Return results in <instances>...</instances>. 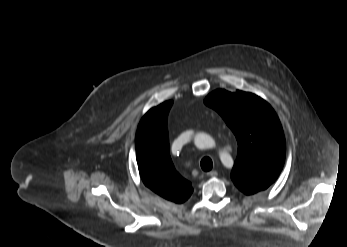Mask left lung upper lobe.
I'll return each instance as SVG.
<instances>
[{
	"label": "left lung upper lobe",
	"mask_w": 347,
	"mask_h": 247,
	"mask_svg": "<svg viewBox=\"0 0 347 247\" xmlns=\"http://www.w3.org/2000/svg\"><path fill=\"white\" fill-rule=\"evenodd\" d=\"M204 102L222 116L237 139L234 184L246 195L265 190L285 160V138L275 111L257 95L239 90H215Z\"/></svg>",
	"instance_id": "5c2ea615"
}]
</instances>
